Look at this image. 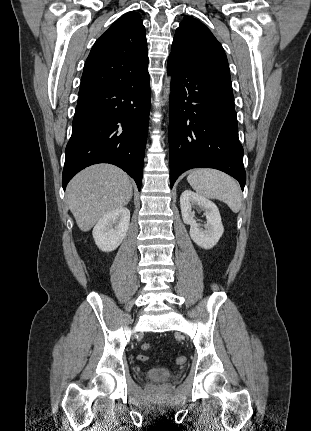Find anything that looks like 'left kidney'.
<instances>
[{"label": "left kidney", "instance_id": "obj_1", "mask_svg": "<svg viewBox=\"0 0 311 431\" xmlns=\"http://www.w3.org/2000/svg\"><path fill=\"white\" fill-rule=\"evenodd\" d=\"M180 208L184 223H189L190 225L189 233L193 241L200 247H204V249H210V247L216 245L224 231L217 206L210 200L203 198V196H198L191 190H185L180 196ZM192 208L203 210L207 219V223H204L205 229H201V223H197V219L194 217L195 212H192Z\"/></svg>", "mask_w": 311, "mask_h": 431}]
</instances>
